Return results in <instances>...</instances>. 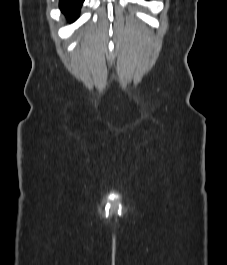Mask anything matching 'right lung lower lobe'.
Listing matches in <instances>:
<instances>
[{"mask_svg": "<svg viewBox=\"0 0 227 265\" xmlns=\"http://www.w3.org/2000/svg\"><path fill=\"white\" fill-rule=\"evenodd\" d=\"M84 0H60L59 7L70 22L77 19Z\"/></svg>", "mask_w": 227, "mask_h": 265, "instance_id": "obj_1", "label": "right lung lower lobe"}]
</instances>
